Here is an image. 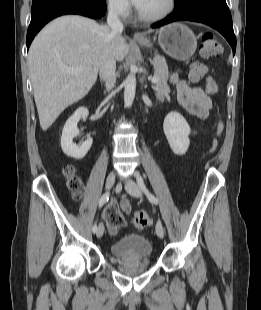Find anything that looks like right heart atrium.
Instances as JSON below:
<instances>
[{"mask_svg": "<svg viewBox=\"0 0 261 310\" xmlns=\"http://www.w3.org/2000/svg\"><path fill=\"white\" fill-rule=\"evenodd\" d=\"M106 6L110 14L126 20L131 14V7L128 0H106Z\"/></svg>", "mask_w": 261, "mask_h": 310, "instance_id": "1", "label": "right heart atrium"}]
</instances>
